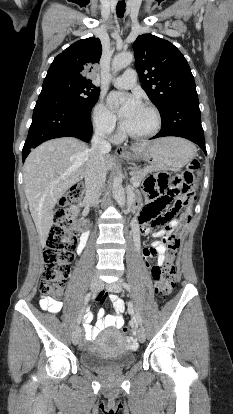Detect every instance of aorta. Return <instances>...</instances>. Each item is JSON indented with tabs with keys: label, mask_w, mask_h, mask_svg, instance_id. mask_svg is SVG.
Instances as JSON below:
<instances>
[{
	"label": "aorta",
	"mask_w": 233,
	"mask_h": 414,
	"mask_svg": "<svg viewBox=\"0 0 233 414\" xmlns=\"http://www.w3.org/2000/svg\"><path fill=\"white\" fill-rule=\"evenodd\" d=\"M133 59H134V56L130 52H124V53L117 54L112 60L113 73H117L118 71L130 65ZM112 193L118 205L120 207H124L126 203V198H125V192L122 186V181L119 177L113 178Z\"/></svg>",
	"instance_id": "aorta-1"
}]
</instances>
